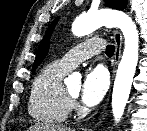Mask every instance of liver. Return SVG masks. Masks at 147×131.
<instances>
[{
  "mask_svg": "<svg viewBox=\"0 0 147 131\" xmlns=\"http://www.w3.org/2000/svg\"><path fill=\"white\" fill-rule=\"evenodd\" d=\"M28 131H74L73 129L65 126H59L47 123H36L30 126Z\"/></svg>",
  "mask_w": 147,
  "mask_h": 131,
  "instance_id": "6515ba94",
  "label": "liver"
}]
</instances>
